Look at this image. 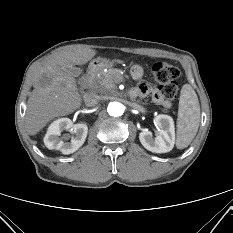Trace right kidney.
Listing matches in <instances>:
<instances>
[{
    "instance_id": "right-kidney-1",
    "label": "right kidney",
    "mask_w": 233,
    "mask_h": 233,
    "mask_svg": "<svg viewBox=\"0 0 233 233\" xmlns=\"http://www.w3.org/2000/svg\"><path fill=\"white\" fill-rule=\"evenodd\" d=\"M69 131L74 136L68 142L69 136L59 138L62 131ZM88 127L86 124H73L69 118H61L55 120L48 127L47 133L44 137L45 146L52 150H60L62 154H71L77 151L85 142L87 137Z\"/></svg>"
}]
</instances>
